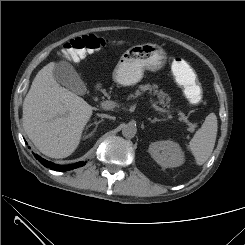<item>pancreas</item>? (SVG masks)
I'll use <instances>...</instances> for the list:
<instances>
[{
	"label": "pancreas",
	"mask_w": 245,
	"mask_h": 245,
	"mask_svg": "<svg viewBox=\"0 0 245 245\" xmlns=\"http://www.w3.org/2000/svg\"><path fill=\"white\" fill-rule=\"evenodd\" d=\"M145 91H149V93L153 96L157 97L158 103L162 105L163 107L170 108V98L169 96L163 91V90H158V86L156 84H145V85H140L139 88L134 92V94H130L127 99H135L141 96Z\"/></svg>",
	"instance_id": "pancreas-1"
}]
</instances>
